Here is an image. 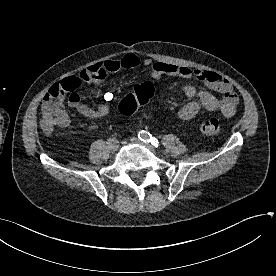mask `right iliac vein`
Here are the masks:
<instances>
[{
	"label": "right iliac vein",
	"mask_w": 276,
	"mask_h": 276,
	"mask_svg": "<svg viewBox=\"0 0 276 276\" xmlns=\"http://www.w3.org/2000/svg\"><path fill=\"white\" fill-rule=\"evenodd\" d=\"M108 148H109L111 153H115L118 150L119 145L118 144H111V145H108Z\"/></svg>",
	"instance_id": "right-iliac-vein-1"
}]
</instances>
